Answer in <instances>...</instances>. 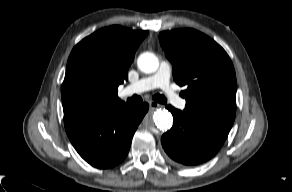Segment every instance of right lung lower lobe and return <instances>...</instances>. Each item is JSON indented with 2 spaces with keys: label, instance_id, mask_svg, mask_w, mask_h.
Listing matches in <instances>:
<instances>
[{
  "label": "right lung lower lobe",
  "instance_id": "98d812e1",
  "mask_svg": "<svg viewBox=\"0 0 292 192\" xmlns=\"http://www.w3.org/2000/svg\"><path fill=\"white\" fill-rule=\"evenodd\" d=\"M148 107L147 103H125L107 111L67 113L64 114L66 133L86 162L101 169L111 168L127 156Z\"/></svg>",
  "mask_w": 292,
  "mask_h": 192
}]
</instances>
